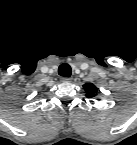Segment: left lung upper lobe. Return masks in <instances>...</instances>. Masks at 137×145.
Wrapping results in <instances>:
<instances>
[{"mask_svg":"<svg viewBox=\"0 0 137 145\" xmlns=\"http://www.w3.org/2000/svg\"><path fill=\"white\" fill-rule=\"evenodd\" d=\"M83 87L86 92L87 98H96L97 97L99 90L94 84L88 83V84L83 85Z\"/></svg>","mask_w":137,"mask_h":145,"instance_id":"obj_1","label":"left lung upper lobe"}]
</instances>
